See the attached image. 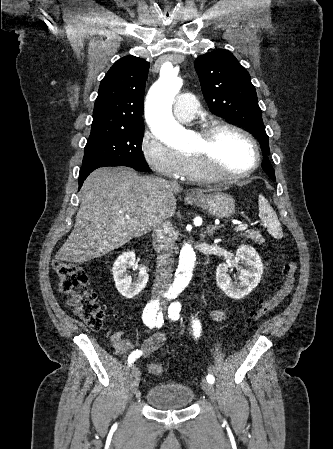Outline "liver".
<instances>
[{
    "label": "liver",
    "instance_id": "obj_1",
    "mask_svg": "<svg viewBox=\"0 0 333 449\" xmlns=\"http://www.w3.org/2000/svg\"><path fill=\"white\" fill-rule=\"evenodd\" d=\"M180 190L176 183L139 177L132 169L93 171L80 190L75 227L58 257L85 262L148 233L155 220L174 215V193Z\"/></svg>",
    "mask_w": 333,
    "mask_h": 449
}]
</instances>
